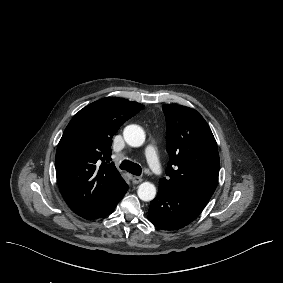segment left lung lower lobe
I'll use <instances>...</instances> for the list:
<instances>
[{"label":"left lung lower lobe","mask_w":283,"mask_h":283,"mask_svg":"<svg viewBox=\"0 0 283 283\" xmlns=\"http://www.w3.org/2000/svg\"><path fill=\"white\" fill-rule=\"evenodd\" d=\"M206 204L192 196L159 187L156 198L150 202L148 219L160 229L177 230L197 218Z\"/></svg>","instance_id":"left-lung-lower-lobe-1"}]
</instances>
